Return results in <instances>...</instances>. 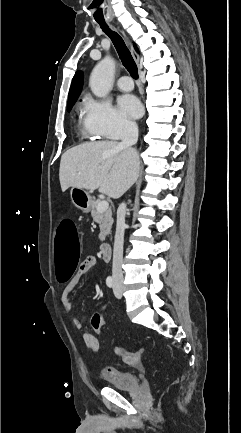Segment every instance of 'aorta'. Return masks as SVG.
<instances>
[{
	"mask_svg": "<svg viewBox=\"0 0 241 433\" xmlns=\"http://www.w3.org/2000/svg\"><path fill=\"white\" fill-rule=\"evenodd\" d=\"M115 74V61L107 56L102 59L93 69L89 86L92 93L99 98L106 97L110 92Z\"/></svg>",
	"mask_w": 241,
	"mask_h": 433,
	"instance_id": "762f6f07",
	"label": "aorta"
}]
</instances>
